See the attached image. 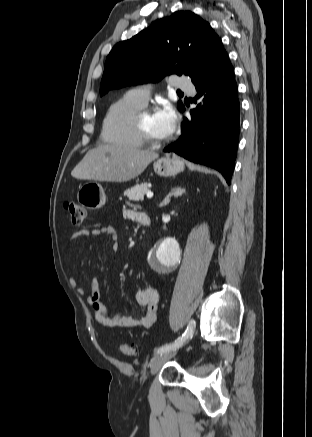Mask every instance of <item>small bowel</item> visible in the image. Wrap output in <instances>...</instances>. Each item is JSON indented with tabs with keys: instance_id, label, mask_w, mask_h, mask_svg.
Returning a JSON list of instances; mask_svg holds the SVG:
<instances>
[{
	"instance_id": "obj_1",
	"label": "small bowel",
	"mask_w": 312,
	"mask_h": 437,
	"mask_svg": "<svg viewBox=\"0 0 312 437\" xmlns=\"http://www.w3.org/2000/svg\"><path fill=\"white\" fill-rule=\"evenodd\" d=\"M143 213L132 210H125L124 216L132 221L141 223ZM90 235H108L111 238L113 248L117 247L118 232L114 226H104L97 230L83 229L76 231L72 235V240H78ZM70 284L77 288L80 294H84V289L77 285L74 279ZM90 293L86 297L87 303L93 308L94 317L98 323L108 328H135L148 329L153 326L157 319L158 310V291L151 285H145L135 293V300L140 307L137 315H124L121 313L112 314L100 300V284L95 278L90 280Z\"/></svg>"
}]
</instances>
